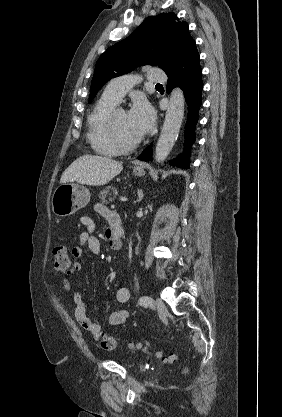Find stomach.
I'll use <instances>...</instances> for the list:
<instances>
[{"mask_svg": "<svg viewBox=\"0 0 282 417\" xmlns=\"http://www.w3.org/2000/svg\"><path fill=\"white\" fill-rule=\"evenodd\" d=\"M136 176L145 174L144 166H133ZM90 190L77 182H63L52 194V211L58 217H69L83 209L90 200Z\"/></svg>", "mask_w": 282, "mask_h": 417, "instance_id": "stomach-1", "label": "stomach"}]
</instances>
